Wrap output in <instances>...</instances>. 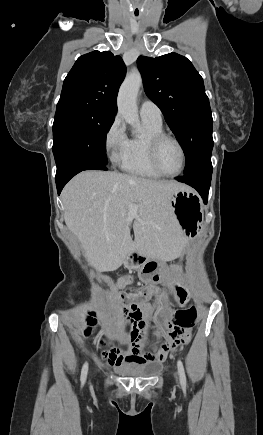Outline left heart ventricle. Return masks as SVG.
<instances>
[{
  "mask_svg": "<svg viewBox=\"0 0 263 435\" xmlns=\"http://www.w3.org/2000/svg\"><path fill=\"white\" fill-rule=\"evenodd\" d=\"M158 161L165 172H178L182 165V155L179 147L173 141H164L159 147Z\"/></svg>",
  "mask_w": 263,
  "mask_h": 435,
  "instance_id": "1",
  "label": "left heart ventricle"
}]
</instances>
